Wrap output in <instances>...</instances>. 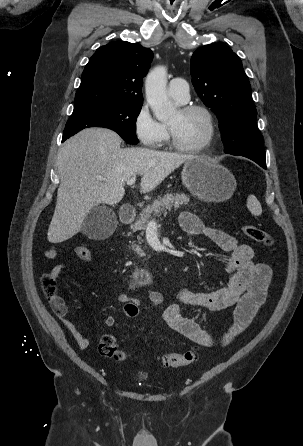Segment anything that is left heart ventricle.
I'll return each instance as SVG.
<instances>
[{
  "label": "left heart ventricle",
  "instance_id": "b2bd125f",
  "mask_svg": "<svg viewBox=\"0 0 303 446\" xmlns=\"http://www.w3.org/2000/svg\"><path fill=\"white\" fill-rule=\"evenodd\" d=\"M167 124L173 129L178 142L185 146L200 144L208 132L206 119L198 111L183 113L178 109Z\"/></svg>",
  "mask_w": 303,
  "mask_h": 446
}]
</instances>
